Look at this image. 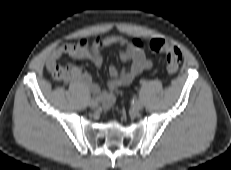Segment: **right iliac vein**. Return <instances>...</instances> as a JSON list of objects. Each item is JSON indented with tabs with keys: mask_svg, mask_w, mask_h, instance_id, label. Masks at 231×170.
Listing matches in <instances>:
<instances>
[{
	"mask_svg": "<svg viewBox=\"0 0 231 170\" xmlns=\"http://www.w3.org/2000/svg\"><path fill=\"white\" fill-rule=\"evenodd\" d=\"M89 106L92 108V109H97L99 107V102L95 99H92L90 102H89Z\"/></svg>",
	"mask_w": 231,
	"mask_h": 170,
	"instance_id": "right-iliac-vein-1",
	"label": "right iliac vein"
}]
</instances>
